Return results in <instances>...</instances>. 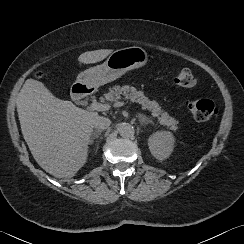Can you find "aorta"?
Listing matches in <instances>:
<instances>
[{
  "instance_id": "762f6f07",
  "label": "aorta",
  "mask_w": 244,
  "mask_h": 244,
  "mask_svg": "<svg viewBox=\"0 0 244 244\" xmlns=\"http://www.w3.org/2000/svg\"><path fill=\"white\" fill-rule=\"evenodd\" d=\"M119 134L128 138L134 134V127L129 123H123L118 127Z\"/></svg>"
}]
</instances>
